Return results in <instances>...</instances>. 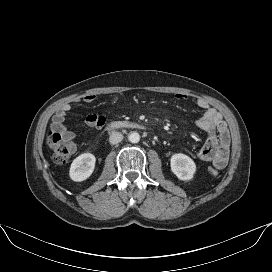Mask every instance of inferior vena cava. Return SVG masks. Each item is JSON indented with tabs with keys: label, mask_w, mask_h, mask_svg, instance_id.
<instances>
[{
	"label": "inferior vena cava",
	"mask_w": 272,
	"mask_h": 272,
	"mask_svg": "<svg viewBox=\"0 0 272 272\" xmlns=\"http://www.w3.org/2000/svg\"><path fill=\"white\" fill-rule=\"evenodd\" d=\"M123 139V135L120 132H112V134L109 137V142L111 144H118Z\"/></svg>",
	"instance_id": "1"
}]
</instances>
